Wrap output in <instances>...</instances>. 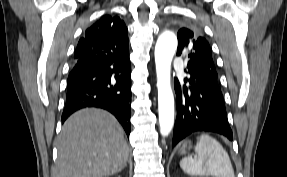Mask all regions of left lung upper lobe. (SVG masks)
I'll list each match as a JSON object with an SVG mask.
<instances>
[{
	"label": "left lung upper lobe",
	"mask_w": 287,
	"mask_h": 177,
	"mask_svg": "<svg viewBox=\"0 0 287 177\" xmlns=\"http://www.w3.org/2000/svg\"><path fill=\"white\" fill-rule=\"evenodd\" d=\"M178 52L188 59L187 68L205 84H218V75L209 43L197 31L181 28L177 34Z\"/></svg>",
	"instance_id": "5c2ea615"
}]
</instances>
